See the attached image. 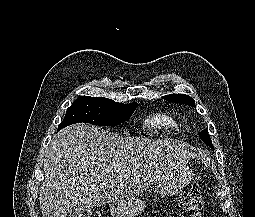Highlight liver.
Instances as JSON below:
<instances>
[{"label":"liver","mask_w":255,"mask_h":217,"mask_svg":"<svg viewBox=\"0 0 255 217\" xmlns=\"http://www.w3.org/2000/svg\"><path fill=\"white\" fill-rule=\"evenodd\" d=\"M191 157L186 144L122 137L83 123L68 126L46 148L42 217H66L78 204L99 207L133 199ZM114 164L121 165L117 174Z\"/></svg>","instance_id":"6515ba94"}]
</instances>
